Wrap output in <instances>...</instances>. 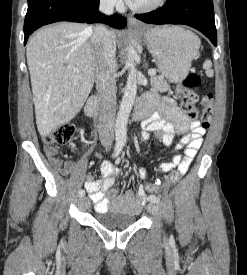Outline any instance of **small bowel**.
Wrapping results in <instances>:
<instances>
[{"label":"small bowel","mask_w":247,"mask_h":275,"mask_svg":"<svg viewBox=\"0 0 247 275\" xmlns=\"http://www.w3.org/2000/svg\"><path fill=\"white\" fill-rule=\"evenodd\" d=\"M142 103L147 108L143 140H149L151 133H154L164 145L172 146L175 137L181 136L175 145L176 154L170 161L160 163L158 170L165 173L177 167L180 174H185L202 145L206 129L199 120L187 116L172 99L146 95ZM182 149H185L183 155L179 153ZM44 151L51 165L60 174L70 176L76 181L80 180V168L76 163L59 158L57 149L51 145H46ZM100 172L101 179L88 174L84 184L91 201L95 204L96 212L138 214L146 202L147 193L143 186L136 192L115 189L118 169L108 160L103 161ZM145 175L146 172L140 170V176L144 178Z\"/></svg>","instance_id":"obj_1"}]
</instances>
